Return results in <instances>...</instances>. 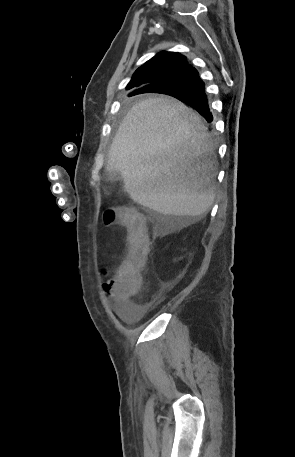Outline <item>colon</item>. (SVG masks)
I'll list each match as a JSON object with an SVG mask.
<instances>
[{"mask_svg":"<svg viewBox=\"0 0 295 457\" xmlns=\"http://www.w3.org/2000/svg\"><path fill=\"white\" fill-rule=\"evenodd\" d=\"M106 224L116 221L128 230L129 250L125 261L116 274L103 284L107 294L114 296L116 301L132 298L141 286L143 270L149 252V238L143 216L129 207L108 209L104 213Z\"/></svg>","mask_w":295,"mask_h":457,"instance_id":"5ec220e1","label":"colon"}]
</instances>
